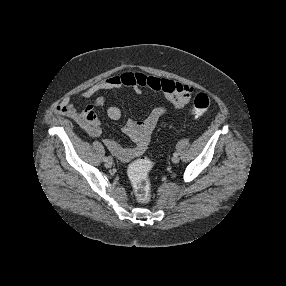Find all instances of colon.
<instances>
[{
  "label": "colon",
  "instance_id": "1",
  "mask_svg": "<svg viewBox=\"0 0 286 286\" xmlns=\"http://www.w3.org/2000/svg\"><path fill=\"white\" fill-rule=\"evenodd\" d=\"M210 107V99L207 94L199 93L192 104V114L196 117L205 114ZM152 163L147 158H141L129 168L128 174L132 182L135 196L140 203H147L151 198V184L148 173Z\"/></svg>",
  "mask_w": 286,
  "mask_h": 286
}]
</instances>
